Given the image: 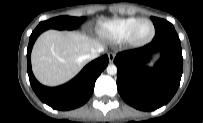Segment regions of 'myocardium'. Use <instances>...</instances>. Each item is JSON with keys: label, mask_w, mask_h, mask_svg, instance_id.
I'll use <instances>...</instances> for the list:
<instances>
[{"label": "myocardium", "mask_w": 203, "mask_h": 123, "mask_svg": "<svg viewBox=\"0 0 203 123\" xmlns=\"http://www.w3.org/2000/svg\"><path fill=\"white\" fill-rule=\"evenodd\" d=\"M145 22H148V23L151 24L152 33L148 38H146L144 40H140V39L137 38V31H138L139 27ZM155 32H156L155 25L150 19H141L131 29V31H130V33L128 35L127 41L132 46H136V47L144 46V45L148 44L149 42H151L153 40V38L155 36Z\"/></svg>", "instance_id": "obj_1"}]
</instances>
